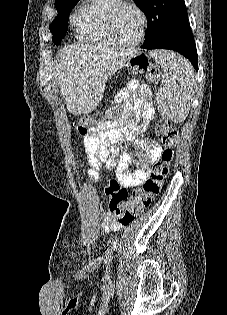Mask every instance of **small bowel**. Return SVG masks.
<instances>
[{"label":"small bowel","instance_id":"1","mask_svg":"<svg viewBox=\"0 0 227 315\" xmlns=\"http://www.w3.org/2000/svg\"><path fill=\"white\" fill-rule=\"evenodd\" d=\"M150 90L146 85L131 80L127 87L120 91L118 98L129 103L134 98L136 120L126 125L103 124L93 127L84 137L83 143L87 155V175L91 180L99 178V169L104 166L114 171L118 182L127 188L140 186L150 174V167L159 160L162 148L151 141L136 139L135 136L146 129V124L138 125L140 116L147 117L153 113L150 104ZM133 144L132 150L123 149ZM131 166L137 170L130 171ZM102 228L104 231H119L121 225L109 211H102Z\"/></svg>","mask_w":227,"mask_h":315}]
</instances>
